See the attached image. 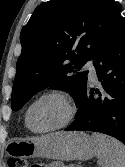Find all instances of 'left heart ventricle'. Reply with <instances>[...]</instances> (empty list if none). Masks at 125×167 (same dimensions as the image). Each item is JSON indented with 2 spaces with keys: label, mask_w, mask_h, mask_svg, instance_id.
Segmentation results:
<instances>
[{
  "label": "left heart ventricle",
  "mask_w": 125,
  "mask_h": 167,
  "mask_svg": "<svg viewBox=\"0 0 125 167\" xmlns=\"http://www.w3.org/2000/svg\"><path fill=\"white\" fill-rule=\"evenodd\" d=\"M62 103L55 98H47L36 104L30 113V125L42 130L57 124L64 116Z\"/></svg>",
  "instance_id": "left-heart-ventricle-1"
}]
</instances>
